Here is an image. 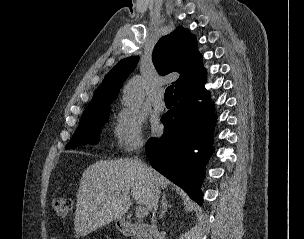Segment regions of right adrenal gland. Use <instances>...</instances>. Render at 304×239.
<instances>
[{
  "instance_id": "2a0ac1e0",
  "label": "right adrenal gland",
  "mask_w": 304,
  "mask_h": 239,
  "mask_svg": "<svg viewBox=\"0 0 304 239\" xmlns=\"http://www.w3.org/2000/svg\"><path fill=\"white\" fill-rule=\"evenodd\" d=\"M161 204H162V209H161L160 215L158 217L159 220L163 218V216L167 212V209L172 206L171 204H168V201H167V198H166V193H163Z\"/></svg>"
}]
</instances>
